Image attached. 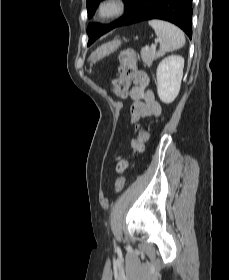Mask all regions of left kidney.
Listing matches in <instances>:
<instances>
[{
    "label": "left kidney",
    "mask_w": 229,
    "mask_h": 280,
    "mask_svg": "<svg viewBox=\"0 0 229 280\" xmlns=\"http://www.w3.org/2000/svg\"><path fill=\"white\" fill-rule=\"evenodd\" d=\"M183 68L184 58L178 55H170L159 63L156 71L157 92L162 102L171 103L178 96Z\"/></svg>",
    "instance_id": "left-kidney-1"
}]
</instances>
